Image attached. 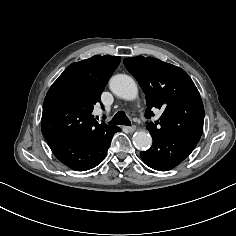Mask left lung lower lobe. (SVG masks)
<instances>
[{
    "mask_svg": "<svg viewBox=\"0 0 236 236\" xmlns=\"http://www.w3.org/2000/svg\"><path fill=\"white\" fill-rule=\"evenodd\" d=\"M153 144L140 156L149 167L167 171L180 164L194 150L201 136L193 134L155 135Z\"/></svg>",
    "mask_w": 236,
    "mask_h": 236,
    "instance_id": "1",
    "label": "left lung lower lobe"
}]
</instances>
